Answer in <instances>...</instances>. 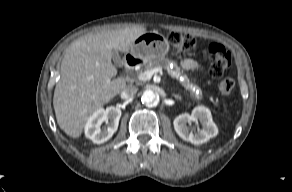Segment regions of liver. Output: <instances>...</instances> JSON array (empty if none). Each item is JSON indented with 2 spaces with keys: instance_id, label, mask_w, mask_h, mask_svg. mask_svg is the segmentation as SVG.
Instances as JSON below:
<instances>
[{
  "instance_id": "1",
  "label": "liver",
  "mask_w": 292,
  "mask_h": 192,
  "mask_svg": "<svg viewBox=\"0 0 292 192\" xmlns=\"http://www.w3.org/2000/svg\"><path fill=\"white\" fill-rule=\"evenodd\" d=\"M146 28L134 26L86 34L72 42L65 51L56 84L53 106L59 127L78 138L90 116L126 86L117 77L111 62L113 49L128 52Z\"/></svg>"
}]
</instances>
